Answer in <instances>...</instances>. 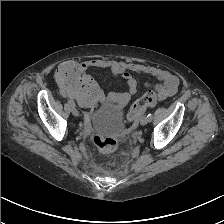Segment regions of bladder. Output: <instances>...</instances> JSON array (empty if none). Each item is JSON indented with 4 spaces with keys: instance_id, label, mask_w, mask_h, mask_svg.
I'll return each mask as SVG.
<instances>
[{
    "instance_id": "bladder-1",
    "label": "bladder",
    "mask_w": 224,
    "mask_h": 224,
    "mask_svg": "<svg viewBox=\"0 0 224 224\" xmlns=\"http://www.w3.org/2000/svg\"><path fill=\"white\" fill-rule=\"evenodd\" d=\"M122 107L114 103H105L95 110L90 121L96 132L107 135H119L123 131Z\"/></svg>"
}]
</instances>
